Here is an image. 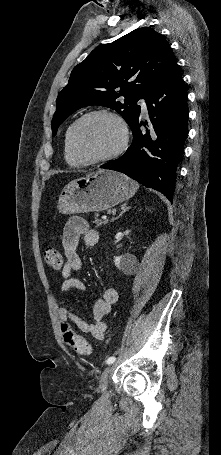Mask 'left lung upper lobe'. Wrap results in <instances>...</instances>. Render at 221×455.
Instances as JSON below:
<instances>
[{"label": "left lung upper lobe", "mask_w": 221, "mask_h": 455, "mask_svg": "<svg viewBox=\"0 0 221 455\" xmlns=\"http://www.w3.org/2000/svg\"><path fill=\"white\" fill-rule=\"evenodd\" d=\"M175 63L168 43L149 27L97 47L74 67L57 97L53 136L69 115L89 105L116 110L131 127L140 114L138 100L145 99Z\"/></svg>", "instance_id": "5c2ea615"}]
</instances>
